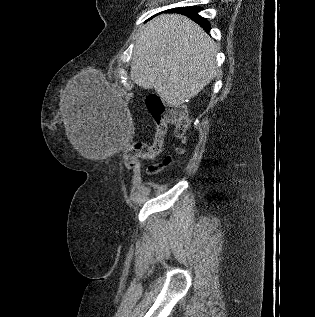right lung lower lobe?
Masks as SVG:
<instances>
[{
    "label": "right lung lower lobe",
    "mask_w": 315,
    "mask_h": 317,
    "mask_svg": "<svg viewBox=\"0 0 315 317\" xmlns=\"http://www.w3.org/2000/svg\"><path fill=\"white\" fill-rule=\"evenodd\" d=\"M201 7H180L169 10V12L180 13L190 17L192 20L197 22L205 31L210 30V24L206 19L200 17L198 12L201 10Z\"/></svg>",
    "instance_id": "obj_1"
}]
</instances>
